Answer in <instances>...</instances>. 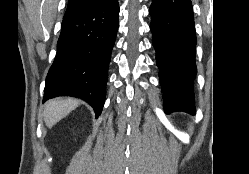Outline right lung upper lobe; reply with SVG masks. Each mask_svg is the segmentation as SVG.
I'll return each instance as SVG.
<instances>
[{"label": "right lung upper lobe", "mask_w": 249, "mask_h": 174, "mask_svg": "<svg viewBox=\"0 0 249 174\" xmlns=\"http://www.w3.org/2000/svg\"><path fill=\"white\" fill-rule=\"evenodd\" d=\"M106 0H68V7L65 14L75 12L86 6L103 2Z\"/></svg>", "instance_id": "right-lung-upper-lobe-1"}]
</instances>
